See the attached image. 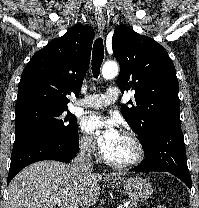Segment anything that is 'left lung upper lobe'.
Listing matches in <instances>:
<instances>
[{"label": "left lung upper lobe", "instance_id": "obj_1", "mask_svg": "<svg viewBox=\"0 0 199 208\" xmlns=\"http://www.w3.org/2000/svg\"><path fill=\"white\" fill-rule=\"evenodd\" d=\"M112 48L120 63L117 85L122 92L135 91L122 114L144 146L156 129L180 124L175 67L161 45L124 25L115 28Z\"/></svg>", "mask_w": 199, "mask_h": 208}]
</instances>
